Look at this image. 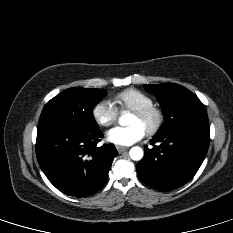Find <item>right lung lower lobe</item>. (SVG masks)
Listing matches in <instances>:
<instances>
[{"mask_svg": "<svg viewBox=\"0 0 233 233\" xmlns=\"http://www.w3.org/2000/svg\"><path fill=\"white\" fill-rule=\"evenodd\" d=\"M103 133L63 123L38 126L36 155L49 181L61 192L88 197L106 183L117 150L113 144L98 147Z\"/></svg>", "mask_w": 233, "mask_h": 233, "instance_id": "right-lung-lower-lobe-1", "label": "right lung lower lobe"}]
</instances>
